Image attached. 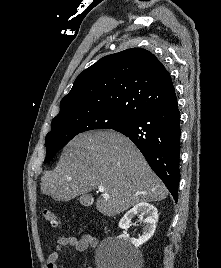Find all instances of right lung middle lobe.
Instances as JSON below:
<instances>
[{
	"mask_svg": "<svg viewBox=\"0 0 221 268\" xmlns=\"http://www.w3.org/2000/svg\"><path fill=\"white\" fill-rule=\"evenodd\" d=\"M130 119L124 114L110 110L57 115L52 120V130L45 139L47 153L44 163L49 162L76 135L94 129H112Z\"/></svg>",
	"mask_w": 221,
	"mask_h": 268,
	"instance_id": "obj_1",
	"label": "right lung middle lobe"
}]
</instances>
